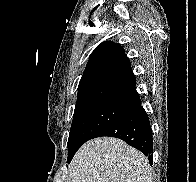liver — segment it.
Wrapping results in <instances>:
<instances>
[{
  "instance_id": "obj_1",
  "label": "liver",
  "mask_w": 196,
  "mask_h": 182,
  "mask_svg": "<svg viewBox=\"0 0 196 182\" xmlns=\"http://www.w3.org/2000/svg\"><path fill=\"white\" fill-rule=\"evenodd\" d=\"M67 182H153L147 158L124 141L102 137L74 155Z\"/></svg>"
}]
</instances>
